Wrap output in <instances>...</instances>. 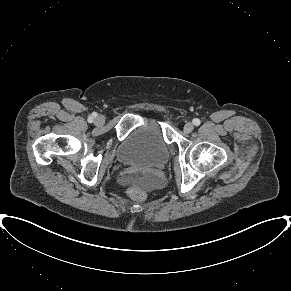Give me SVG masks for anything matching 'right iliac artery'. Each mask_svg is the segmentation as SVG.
I'll return each instance as SVG.
<instances>
[{
    "label": "right iliac artery",
    "instance_id": "right-iliac-artery-1",
    "mask_svg": "<svg viewBox=\"0 0 291 291\" xmlns=\"http://www.w3.org/2000/svg\"><path fill=\"white\" fill-rule=\"evenodd\" d=\"M96 116H97V114H96V113H93V114L88 118V121H89V122H92Z\"/></svg>",
    "mask_w": 291,
    "mask_h": 291
}]
</instances>
